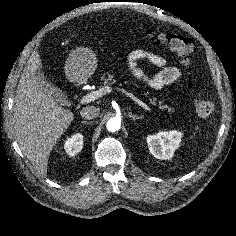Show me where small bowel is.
<instances>
[{"label": "small bowel", "instance_id": "1", "mask_svg": "<svg viewBox=\"0 0 236 236\" xmlns=\"http://www.w3.org/2000/svg\"><path fill=\"white\" fill-rule=\"evenodd\" d=\"M141 62L161 67L162 71L154 77H149L142 68ZM127 64L135 78L153 89H161L182 77L179 67L170 64L164 57L146 50L132 51L127 57Z\"/></svg>", "mask_w": 236, "mask_h": 236}]
</instances>
